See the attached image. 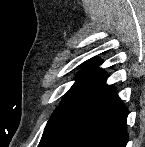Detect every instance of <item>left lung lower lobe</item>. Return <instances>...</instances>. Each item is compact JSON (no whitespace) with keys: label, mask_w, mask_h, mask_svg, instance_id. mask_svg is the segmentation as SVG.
Returning a JSON list of instances; mask_svg holds the SVG:
<instances>
[{"label":"left lung lower lobe","mask_w":145,"mask_h":147,"mask_svg":"<svg viewBox=\"0 0 145 147\" xmlns=\"http://www.w3.org/2000/svg\"><path fill=\"white\" fill-rule=\"evenodd\" d=\"M100 71L63 134L44 147H126L128 110Z\"/></svg>","instance_id":"1"}]
</instances>
